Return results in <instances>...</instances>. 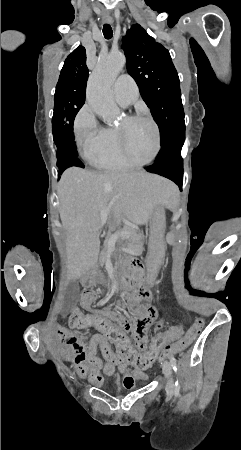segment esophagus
I'll return each instance as SVG.
<instances>
[{
  "label": "esophagus",
  "mask_w": 241,
  "mask_h": 450,
  "mask_svg": "<svg viewBox=\"0 0 241 450\" xmlns=\"http://www.w3.org/2000/svg\"><path fill=\"white\" fill-rule=\"evenodd\" d=\"M104 21L107 22V23H111V22H112V18H111V17H108V18H106Z\"/></svg>",
  "instance_id": "1"
}]
</instances>
